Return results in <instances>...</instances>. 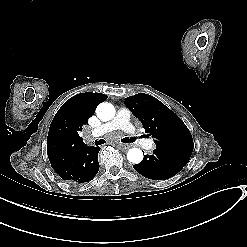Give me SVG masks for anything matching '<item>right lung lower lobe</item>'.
Masks as SVG:
<instances>
[{"mask_svg":"<svg viewBox=\"0 0 247 247\" xmlns=\"http://www.w3.org/2000/svg\"><path fill=\"white\" fill-rule=\"evenodd\" d=\"M99 147L85 146L63 164L53 167L64 180L84 183L92 180L99 170Z\"/></svg>","mask_w":247,"mask_h":247,"instance_id":"98d812e1","label":"right lung lower lobe"}]
</instances>
